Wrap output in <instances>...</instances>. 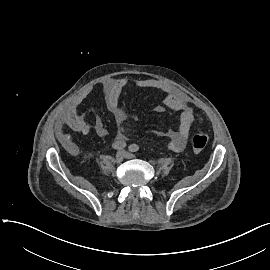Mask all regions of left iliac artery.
<instances>
[{
  "mask_svg": "<svg viewBox=\"0 0 270 270\" xmlns=\"http://www.w3.org/2000/svg\"><path fill=\"white\" fill-rule=\"evenodd\" d=\"M129 151L131 152H137L139 150V146L136 145V144H131L129 147H128Z\"/></svg>",
  "mask_w": 270,
  "mask_h": 270,
  "instance_id": "obj_1",
  "label": "left iliac artery"
}]
</instances>
